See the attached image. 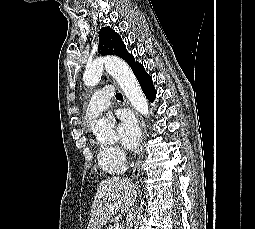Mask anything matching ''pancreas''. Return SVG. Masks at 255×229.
I'll return each instance as SVG.
<instances>
[{
	"label": "pancreas",
	"instance_id": "1",
	"mask_svg": "<svg viewBox=\"0 0 255 229\" xmlns=\"http://www.w3.org/2000/svg\"><path fill=\"white\" fill-rule=\"evenodd\" d=\"M116 224H117V222L110 224L107 229H115Z\"/></svg>",
	"mask_w": 255,
	"mask_h": 229
}]
</instances>
